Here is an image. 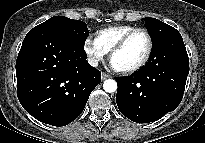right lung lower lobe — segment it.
Listing matches in <instances>:
<instances>
[{"instance_id": "right-lung-lower-lobe-1", "label": "right lung lower lobe", "mask_w": 205, "mask_h": 143, "mask_svg": "<svg viewBox=\"0 0 205 143\" xmlns=\"http://www.w3.org/2000/svg\"><path fill=\"white\" fill-rule=\"evenodd\" d=\"M84 47L46 29H31L16 61L17 96L40 122L65 126L83 111L101 72L86 61Z\"/></svg>"}]
</instances>
